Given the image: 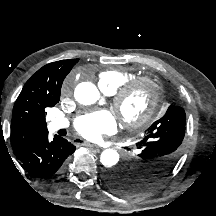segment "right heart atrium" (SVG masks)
<instances>
[{
    "instance_id": "right-heart-atrium-1",
    "label": "right heart atrium",
    "mask_w": 216,
    "mask_h": 216,
    "mask_svg": "<svg viewBox=\"0 0 216 216\" xmlns=\"http://www.w3.org/2000/svg\"><path fill=\"white\" fill-rule=\"evenodd\" d=\"M71 79H68L66 82H65V88L67 89V90H69L70 89V87H71Z\"/></svg>"
}]
</instances>
